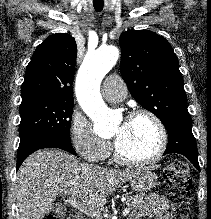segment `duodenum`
I'll return each instance as SVG.
<instances>
[{"label": "duodenum", "mask_w": 211, "mask_h": 219, "mask_svg": "<svg viewBox=\"0 0 211 219\" xmlns=\"http://www.w3.org/2000/svg\"><path fill=\"white\" fill-rule=\"evenodd\" d=\"M71 218H72V219H82V218L79 217V216H72Z\"/></svg>", "instance_id": "duodenum-1"}]
</instances>
